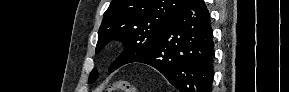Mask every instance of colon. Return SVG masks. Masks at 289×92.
Masks as SVG:
<instances>
[{"label": "colon", "mask_w": 289, "mask_h": 92, "mask_svg": "<svg viewBox=\"0 0 289 92\" xmlns=\"http://www.w3.org/2000/svg\"><path fill=\"white\" fill-rule=\"evenodd\" d=\"M111 91L135 92V87L130 81L120 80L106 90V92Z\"/></svg>", "instance_id": "1"}]
</instances>
